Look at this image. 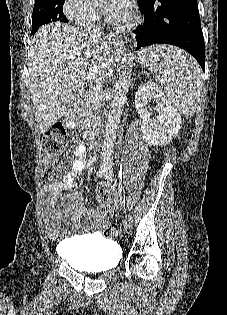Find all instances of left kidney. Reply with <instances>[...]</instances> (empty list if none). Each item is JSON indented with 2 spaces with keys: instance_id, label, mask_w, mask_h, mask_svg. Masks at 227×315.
<instances>
[{
  "instance_id": "left-kidney-1",
  "label": "left kidney",
  "mask_w": 227,
  "mask_h": 315,
  "mask_svg": "<svg viewBox=\"0 0 227 315\" xmlns=\"http://www.w3.org/2000/svg\"><path fill=\"white\" fill-rule=\"evenodd\" d=\"M151 100L158 111L155 117H152ZM135 107L142 118L143 138L149 145L168 144L181 129L180 114L155 83L148 82L139 86L135 95Z\"/></svg>"
}]
</instances>
